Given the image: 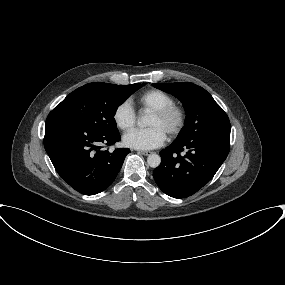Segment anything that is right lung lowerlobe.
<instances>
[{
	"label": "right lung lower lobe",
	"instance_id": "98d812e1",
	"mask_svg": "<svg viewBox=\"0 0 285 285\" xmlns=\"http://www.w3.org/2000/svg\"><path fill=\"white\" fill-rule=\"evenodd\" d=\"M120 141L118 131L104 133L63 114L46 119L44 147L60 177L76 191L94 195L116 178L129 149L100 150Z\"/></svg>",
	"mask_w": 285,
	"mask_h": 285
}]
</instances>
